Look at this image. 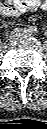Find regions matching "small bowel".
<instances>
[{
  "instance_id": "small-bowel-1",
  "label": "small bowel",
  "mask_w": 47,
  "mask_h": 129,
  "mask_svg": "<svg viewBox=\"0 0 47 129\" xmlns=\"http://www.w3.org/2000/svg\"><path fill=\"white\" fill-rule=\"evenodd\" d=\"M46 8L45 0H2L0 3V13L5 17H18L28 11Z\"/></svg>"
}]
</instances>
